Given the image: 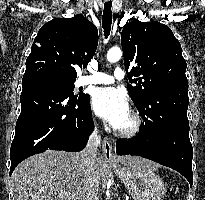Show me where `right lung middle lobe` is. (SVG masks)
I'll return each mask as SVG.
<instances>
[{
  "mask_svg": "<svg viewBox=\"0 0 205 200\" xmlns=\"http://www.w3.org/2000/svg\"><path fill=\"white\" fill-rule=\"evenodd\" d=\"M40 77L48 78V79L55 80V81L61 83L64 87H66L71 92V94L74 95V93H73L74 82H75L74 79H69V78H65V77H62V76H58V75H43V76H40ZM74 96L86 97V96H88V94L80 93V94H77V95H74Z\"/></svg>",
  "mask_w": 205,
  "mask_h": 200,
  "instance_id": "1",
  "label": "right lung middle lobe"
}]
</instances>
